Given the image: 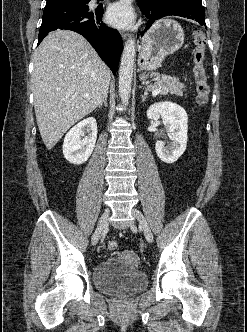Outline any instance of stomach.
I'll use <instances>...</instances> for the list:
<instances>
[{
  "label": "stomach",
  "mask_w": 247,
  "mask_h": 332,
  "mask_svg": "<svg viewBox=\"0 0 247 332\" xmlns=\"http://www.w3.org/2000/svg\"><path fill=\"white\" fill-rule=\"evenodd\" d=\"M184 42L182 27L172 19H161L145 33L140 46L138 59L142 72L151 71L161 66L167 55L181 48Z\"/></svg>",
  "instance_id": "1"
}]
</instances>
